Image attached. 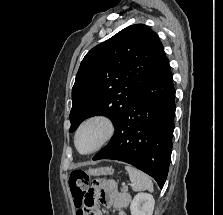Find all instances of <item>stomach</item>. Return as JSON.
Segmentation results:
<instances>
[{
	"mask_svg": "<svg viewBox=\"0 0 223 215\" xmlns=\"http://www.w3.org/2000/svg\"><path fill=\"white\" fill-rule=\"evenodd\" d=\"M88 175H107L111 173L110 167H98V169H88Z\"/></svg>",
	"mask_w": 223,
	"mask_h": 215,
	"instance_id": "1",
	"label": "stomach"
}]
</instances>
